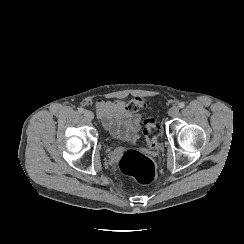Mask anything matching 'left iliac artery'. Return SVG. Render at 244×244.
I'll list each match as a JSON object with an SVG mask.
<instances>
[{
  "label": "left iliac artery",
  "mask_w": 244,
  "mask_h": 244,
  "mask_svg": "<svg viewBox=\"0 0 244 244\" xmlns=\"http://www.w3.org/2000/svg\"><path fill=\"white\" fill-rule=\"evenodd\" d=\"M178 107H179V108H184V107H185V103H184V102H180V103L178 104Z\"/></svg>",
  "instance_id": "left-iliac-artery-1"
}]
</instances>
